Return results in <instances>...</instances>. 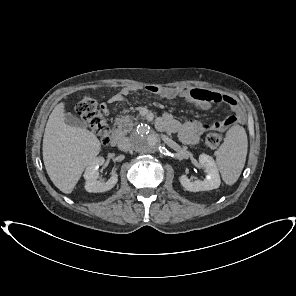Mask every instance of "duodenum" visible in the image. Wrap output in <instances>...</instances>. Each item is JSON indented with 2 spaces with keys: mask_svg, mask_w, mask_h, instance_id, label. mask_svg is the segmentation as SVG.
Masks as SVG:
<instances>
[{
  "mask_svg": "<svg viewBox=\"0 0 296 296\" xmlns=\"http://www.w3.org/2000/svg\"><path fill=\"white\" fill-rule=\"evenodd\" d=\"M162 130H166L167 131V127H165L164 125H161ZM122 138V134L121 131L118 128H114L112 130L111 136H110V143L111 145L115 146L118 145L119 142L121 141Z\"/></svg>",
  "mask_w": 296,
  "mask_h": 296,
  "instance_id": "410a0bca",
  "label": "duodenum"
}]
</instances>
